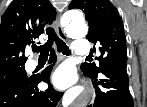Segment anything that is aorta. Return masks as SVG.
<instances>
[{
    "label": "aorta",
    "mask_w": 147,
    "mask_h": 107,
    "mask_svg": "<svg viewBox=\"0 0 147 107\" xmlns=\"http://www.w3.org/2000/svg\"><path fill=\"white\" fill-rule=\"evenodd\" d=\"M65 32L71 38H84L88 33V27L82 18L73 17L72 20L66 19ZM76 105L79 107L86 106L90 101V95L80 89L76 98Z\"/></svg>",
    "instance_id": "obj_1"
}]
</instances>
